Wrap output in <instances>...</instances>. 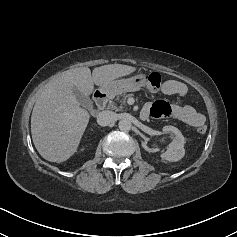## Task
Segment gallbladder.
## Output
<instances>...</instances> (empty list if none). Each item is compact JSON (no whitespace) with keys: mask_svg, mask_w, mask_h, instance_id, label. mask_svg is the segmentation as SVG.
Masks as SVG:
<instances>
[{"mask_svg":"<svg viewBox=\"0 0 237 237\" xmlns=\"http://www.w3.org/2000/svg\"><path fill=\"white\" fill-rule=\"evenodd\" d=\"M72 91L80 105L86 108H89L92 106V101L87 95L83 94L77 88H73Z\"/></svg>","mask_w":237,"mask_h":237,"instance_id":"1","label":"gallbladder"}]
</instances>
